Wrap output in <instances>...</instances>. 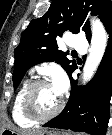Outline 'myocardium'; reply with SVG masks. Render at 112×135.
Segmentation results:
<instances>
[{
    "label": "myocardium",
    "mask_w": 112,
    "mask_h": 135,
    "mask_svg": "<svg viewBox=\"0 0 112 135\" xmlns=\"http://www.w3.org/2000/svg\"><path fill=\"white\" fill-rule=\"evenodd\" d=\"M47 84L50 83L46 79L35 80L29 85V87L26 89L24 93L23 100H22L23 111L25 115L33 121L41 122V121L50 120L56 117L64 107V100L63 98H61L59 105L53 111L43 114L37 110L34 103L35 92L39 87Z\"/></svg>",
    "instance_id": "f54148a6"
}]
</instances>
